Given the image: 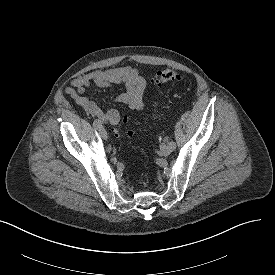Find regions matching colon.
Listing matches in <instances>:
<instances>
[{
	"label": "colon",
	"instance_id": "1",
	"mask_svg": "<svg viewBox=\"0 0 275 275\" xmlns=\"http://www.w3.org/2000/svg\"><path fill=\"white\" fill-rule=\"evenodd\" d=\"M182 80L183 77L179 73L171 69L160 70L153 77V82L156 85H172ZM114 133L116 136H120L122 133L120 127H116L114 129Z\"/></svg>",
	"mask_w": 275,
	"mask_h": 275
}]
</instances>
